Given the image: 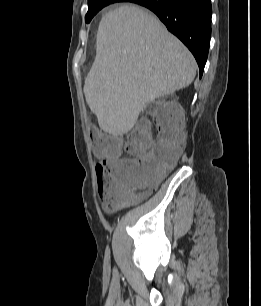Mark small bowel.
I'll return each mask as SVG.
<instances>
[{
	"instance_id": "c3829d8e",
	"label": "small bowel",
	"mask_w": 261,
	"mask_h": 306,
	"mask_svg": "<svg viewBox=\"0 0 261 306\" xmlns=\"http://www.w3.org/2000/svg\"><path fill=\"white\" fill-rule=\"evenodd\" d=\"M120 158H121V159H124V158H122V157H120ZM100 164H101L103 167L108 168V167H110V165H111V159L106 157V158H104V159L101 160Z\"/></svg>"
}]
</instances>
